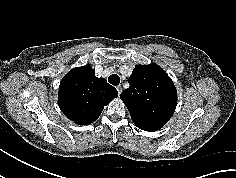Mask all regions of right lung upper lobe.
<instances>
[{
    "label": "right lung upper lobe",
    "instance_id": "obj_1",
    "mask_svg": "<svg viewBox=\"0 0 236 178\" xmlns=\"http://www.w3.org/2000/svg\"><path fill=\"white\" fill-rule=\"evenodd\" d=\"M58 105L64 115L79 125L94 122L104 106L118 96L117 90L95 76L91 66L69 71L59 85Z\"/></svg>",
    "mask_w": 236,
    "mask_h": 178
}]
</instances>
